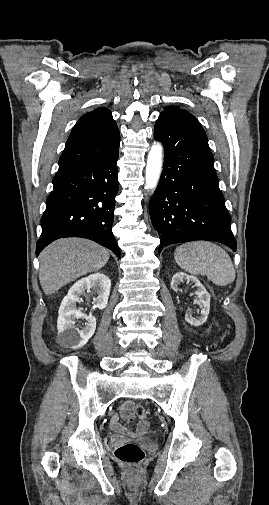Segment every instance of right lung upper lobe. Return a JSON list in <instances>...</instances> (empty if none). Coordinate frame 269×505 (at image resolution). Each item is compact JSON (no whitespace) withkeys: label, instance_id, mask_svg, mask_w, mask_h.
<instances>
[{"label":"right lung upper lobe","instance_id":"obj_1","mask_svg":"<svg viewBox=\"0 0 269 505\" xmlns=\"http://www.w3.org/2000/svg\"><path fill=\"white\" fill-rule=\"evenodd\" d=\"M120 134L107 108L83 115L73 127L59 159V169L101 156L119 145Z\"/></svg>","mask_w":269,"mask_h":505}]
</instances>
